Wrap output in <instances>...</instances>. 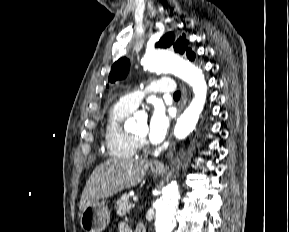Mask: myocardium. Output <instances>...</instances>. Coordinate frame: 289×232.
<instances>
[{
    "label": "myocardium",
    "instance_id": "1",
    "mask_svg": "<svg viewBox=\"0 0 289 232\" xmlns=\"http://www.w3.org/2000/svg\"><path fill=\"white\" fill-rule=\"evenodd\" d=\"M135 137V139L140 143V144H145L146 140L144 137H139L136 135H133Z\"/></svg>",
    "mask_w": 289,
    "mask_h": 232
}]
</instances>
